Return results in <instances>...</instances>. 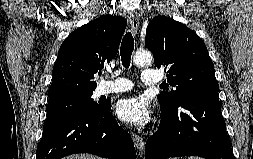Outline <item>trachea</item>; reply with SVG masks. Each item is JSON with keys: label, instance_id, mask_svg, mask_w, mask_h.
I'll return each mask as SVG.
<instances>
[{"label": "trachea", "instance_id": "3493384b", "mask_svg": "<svg viewBox=\"0 0 253 159\" xmlns=\"http://www.w3.org/2000/svg\"><path fill=\"white\" fill-rule=\"evenodd\" d=\"M134 50V38L131 32H127L122 40L120 55L122 64L125 68L130 66L131 55Z\"/></svg>", "mask_w": 253, "mask_h": 159}]
</instances>
